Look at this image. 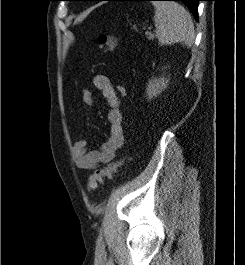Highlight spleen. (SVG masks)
<instances>
[{
    "label": "spleen",
    "instance_id": "1",
    "mask_svg": "<svg viewBox=\"0 0 245 265\" xmlns=\"http://www.w3.org/2000/svg\"><path fill=\"white\" fill-rule=\"evenodd\" d=\"M156 37L160 45L182 42L191 46L195 39L194 24L189 12L173 1H153Z\"/></svg>",
    "mask_w": 245,
    "mask_h": 265
}]
</instances>
